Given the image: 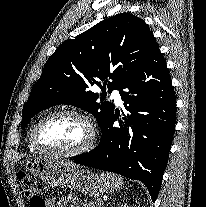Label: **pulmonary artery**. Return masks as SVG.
<instances>
[{
    "instance_id": "e3ab8cb5",
    "label": "pulmonary artery",
    "mask_w": 206,
    "mask_h": 207,
    "mask_svg": "<svg viewBox=\"0 0 206 207\" xmlns=\"http://www.w3.org/2000/svg\"><path fill=\"white\" fill-rule=\"evenodd\" d=\"M112 97L114 98L115 102L120 104L121 103V94L119 89H114L112 91Z\"/></svg>"
}]
</instances>
